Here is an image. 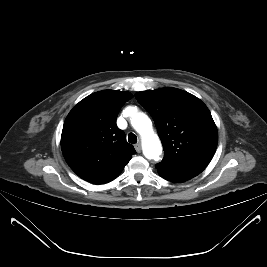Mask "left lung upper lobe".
<instances>
[{
    "mask_svg": "<svg viewBox=\"0 0 267 267\" xmlns=\"http://www.w3.org/2000/svg\"><path fill=\"white\" fill-rule=\"evenodd\" d=\"M135 97L155 122L165 153L159 164L194 177L200 174L218 143L217 128L206 105L176 88L142 91Z\"/></svg>",
    "mask_w": 267,
    "mask_h": 267,
    "instance_id": "obj_1",
    "label": "left lung upper lobe"
}]
</instances>
